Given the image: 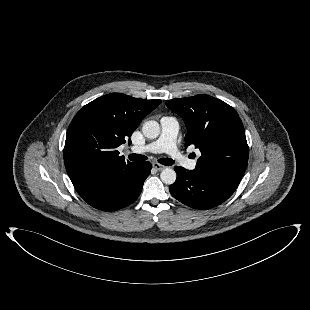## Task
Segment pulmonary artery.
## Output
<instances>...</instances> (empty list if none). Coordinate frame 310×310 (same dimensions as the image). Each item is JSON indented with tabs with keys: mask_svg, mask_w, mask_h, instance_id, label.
Here are the masks:
<instances>
[{
	"mask_svg": "<svg viewBox=\"0 0 310 310\" xmlns=\"http://www.w3.org/2000/svg\"><path fill=\"white\" fill-rule=\"evenodd\" d=\"M161 133L160 136L153 142L144 146H135L131 150L134 153H162L169 154L172 159L188 170H194L197 161L187 158L183 155L176 146V139L179 133V123L175 117L164 116L161 118Z\"/></svg>",
	"mask_w": 310,
	"mask_h": 310,
	"instance_id": "pulmonary-artery-1",
	"label": "pulmonary artery"
}]
</instances>
